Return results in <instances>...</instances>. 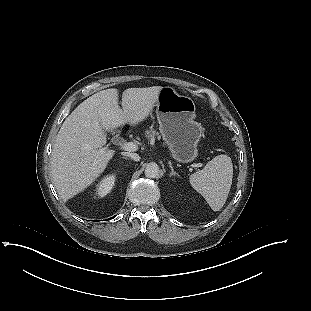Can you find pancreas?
<instances>
[{"mask_svg":"<svg viewBox=\"0 0 311 311\" xmlns=\"http://www.w3.org/2000/svg\"><path fill=\"white\" fill-rule=\"evenodd\" d=\"M145 136H146L148 139H154L156 136H157L158 138H160L159 133L156 132L155 130L146 131V132H145Z\"/></svg>","mask_w":311,"mask_h":311,"instance_id":"1","label":"pancreas"}]
</instances>
